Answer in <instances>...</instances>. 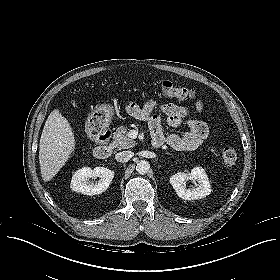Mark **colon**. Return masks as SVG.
I'll use <instances>...</instances> for the list:
<instances>
[{
	"mask_svg": "<svg viewBox=\"0 0 280 280\" xmlns=\"http://www.w3.org/2000/svg\"><path fill=\"white\" fill-rule=\"evenodd\" d=\"M161 94L165 97L176 98L184 101H194L196 91L193 88L175 85L171 81L163 80L159 83ZM222 162L226 166H232L236 163L238 153L233 147H225L222 150Z\"/></svg>",
	"mask_w": 280,
	"mask_h": 280,
	"instance_id": "1",
	"label": "colon"
}]
</instances>
